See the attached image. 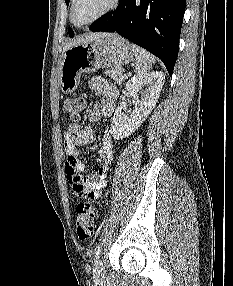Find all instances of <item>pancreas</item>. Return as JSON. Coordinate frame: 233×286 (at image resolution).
<instances>
[{
  "label": "pancreas",
  "mask_w": 233,
  "mask_h": 286,
  "mask_svg": "<svg viewBox=\"0 0 233 286\" xmlns=\"http://www.w3.org/2000/svg\"><path fill=\"white\" fill-rule=\"evenodd\" d=\"M105 74L115 81L117 84H121L124 79V69L122 67H111L105 71Z\"/></svg>",
  "instance_id": "obj_1"
}]
</instances>
